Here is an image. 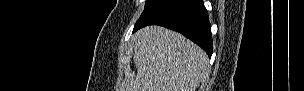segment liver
<instances>
[{
	"mask_svg": "<svg viewBox=\"0 0 304 91\" xmlns=\"http://www.w3.org/2000/svg\"><path fill=\"white\" fill-rule=\"evenodd\" d=\"M137 76L127 91H195L208 73V57L181 34L148 26L133 36Z\"/></svg>",
	"mask_w": 304,
	"mask_h": 91,
	"instance_id": "6515ba94",
	"label": "liver"
}]
</instances>
